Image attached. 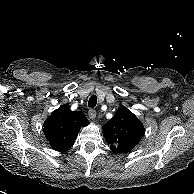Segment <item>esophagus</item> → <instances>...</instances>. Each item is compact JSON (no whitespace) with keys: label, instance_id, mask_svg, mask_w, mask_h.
<instances>
[{"label":"esophagus","instance_id":"1","mask_svg":"<svg viewBox=\"0 0 194 194\" xmlns=\"http://www.w3.org/2000/svg\"><path fill=\"white\" fill-rule=\"evenodd\" d=\"M88 115H89V118H90L91 120H94V119L96 118V111L93 110V109H90V110L88 111Z\"/></svg>","mask_w":194,"mask_h":194}]
</instances>
